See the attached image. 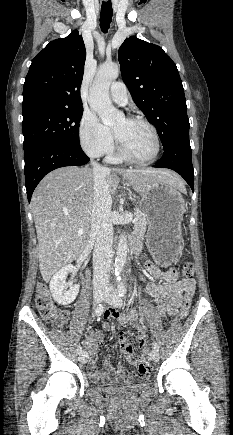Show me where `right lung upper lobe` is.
Returning a JSON list of instances; mask_svg holds the SVG:
<instances>
[{
	"label": "right lung upper lobe",
	"instance_id": "right-lung-upper-lobe-1",
	"mask_svg": "<svg viewBox=\"0 0 233 435\" xmlns=\"http://www.w3.org/2000/svg\"><path fill=\"white\" fill-rule=\"evenodd\" d=\"M85 59V45L77 30L51 41L32 60L24 83L22 115L44 109L83 108L80 85Z\"/></svg>",
	"mask_w": 233,
	"mask_h": 435
}]
</instances>
